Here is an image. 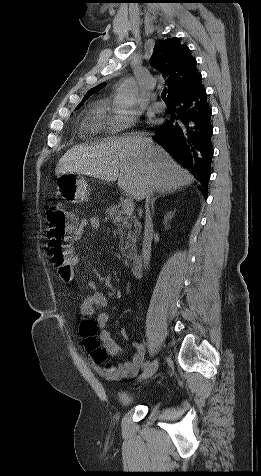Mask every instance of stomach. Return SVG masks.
Returning a JSON list of instances; mask_svg holds the SVG:
<instances>
[{"instance_id":"stomach-1","label":"stomach","mask_w":261,"mask_h":476,"mask_svg":"<svg viewBox=\"0 0 261 476\" xmlns=\"http://www.w3.org/2000/svg\"><path fill=\"white\" fill-rule=\"evenodd\" d=\"M57 187L63 198L72 203L88 200L89 187L86 180L78 173H64L57 177Z\"/></svg>"}]
</instances>
